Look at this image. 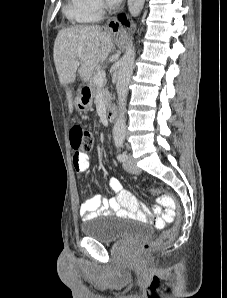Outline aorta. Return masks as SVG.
<instances>
[{
    "label": "aorta",
    "mask_w": 227,
    "mask_h": 298,
    "mask_svg": "<svg viewBox=\"0 0 227 298\" xmlns=\"http://www.w3.org/2000/svg\"><path fill=\"white\" fill-rule=\"evenodd\" d=\"M145 0H128V10L132 17H137L144 6ZM135 61V47L129 45L125 54L119 61L118 77L116 89L119 102V116L113 127L114 140H124L126 133V102L128 95V85L131 79Z\"/></svg>",
    "instance_id": "obj_1"
}]
</instances>
